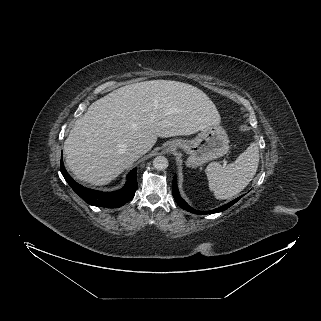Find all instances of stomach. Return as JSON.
Masks as SVG:
<instances>
[{
	"label": "stomach",
	"instance_id": "1",
	"mask_svg": "<svg viewBox=\"0 0 321 321\" xmlns=\"http://www.w3.org/2000/svg\"><path fill=\"white\" fill-rule=\"evenodd\" d=\"M170 147H179L188 153L187 163L194 167L224 156L229 150V139L225 130L217 124L203 128L192 140H173Z\"/></svg>",
	"mask_w": 321,
	"mask_h": 321
}]
</instances>
